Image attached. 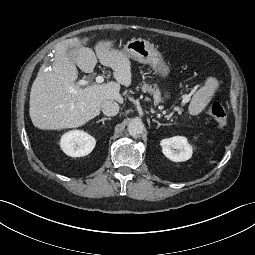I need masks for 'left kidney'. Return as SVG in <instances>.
<instances>
[{
	"mask_svg": "<svg viewBox=\"0 0 255 255\" xmlns=\"http://www.w3.org/2000/svg\"><path fill=\"white\" fill-rule=\"evenodd\" d=\"M163 154L174 162L187 161L192 157L193 149L187 139L182 136H174L161 140Z\"/></svg>",
	"mask_w": 255,
	"mask_h": 255,
	"instance_id": "left-kidney-1",
	"label": "left kidney"
}]
</instances>
